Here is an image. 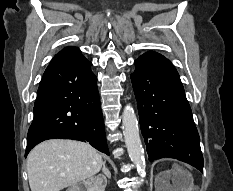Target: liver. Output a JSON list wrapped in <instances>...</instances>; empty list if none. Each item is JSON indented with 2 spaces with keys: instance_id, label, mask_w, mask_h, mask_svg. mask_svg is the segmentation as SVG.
<instances>
[{
  "instance_id": "1",
  "label": "liver",
  "mask_w": 233,
  "mask_h": 191,
  "mask_svg": "<svg viewBox=\"0 0 233 191\" xmlns=\"http://www.w3.org/2000/svg\"><path fill=\"white\" fill-rule=\"evenodd\" d=\"M102 156L87 143L51 139L34 147L27 157L31 191H60L97 174Z\"/></svg>"
}]
</instances>
